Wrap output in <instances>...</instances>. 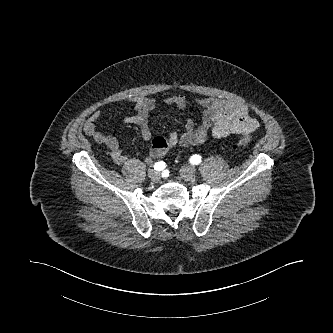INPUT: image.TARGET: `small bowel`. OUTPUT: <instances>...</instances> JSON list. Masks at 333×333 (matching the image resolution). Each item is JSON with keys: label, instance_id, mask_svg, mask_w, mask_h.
<instances>
[{"label": "small bowel", "instance_id": "small-bowel-1", "mask_svg": "<svg viewBox=\"0 0 333 333\" xmlns=\"http://www.w3.org/2000/svg\"><path fill=\"white\" fill-rule=\"evenodd\" d=\"M196 104L202 111V119L199 124L188 119L184 124L181 134L172 131L168 136L154 137L148 118L155 108V100L151 96H137L132 99L134 113L125 117V122L140 128L141 137L151 141L149 155L152 158H160L177 145H203L209 138H224L229 135H249L256 131L258 121L251 117L246 105L225 99H196ZM169 106L185 109L190 100L181 94H173L165 99ZM100 112H93L83 124V130L91 135L98 143L105 145L116 163H124L128 154L124 152L120 141L112 135H108L98 129L97 122Z\"/></svg>", "mask_w": 333, "mask_h": 333}]
</instances>
